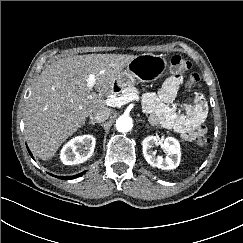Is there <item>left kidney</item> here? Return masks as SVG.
Instances as JSON below:
<instances>
[{
  "label": "left kidney",
  "instance_id": "5707ae66",
  "mask_svg": "<svg viewBox=\"0 0 243 243\" xmlns=\"http://www.w3.org/2000/svg\"><path fill=\"white\" fill-rule=\"evenodd\" d=\"M159 138L156 136H148L142 141V150L147 163L153 167L162 170H171L179 166L180 163V145L178 140L173 137H167L162 143V147L166 153V157L156 156L153 147L159 144Z\"/></svg>",
  "mask_w": 243,
  "mask_h": 243
}]
</instances>
